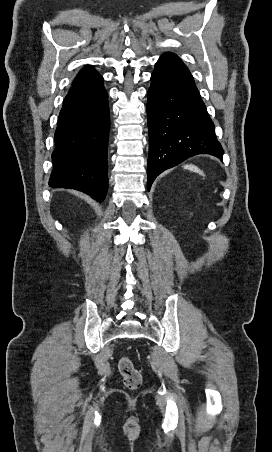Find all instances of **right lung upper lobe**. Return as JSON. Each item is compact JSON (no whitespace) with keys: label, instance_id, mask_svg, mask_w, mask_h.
<instances>
[{"label":"right lung upper lobe","instance_id":"right-lung-upper-lobe-1","mask_svg":"<svg viewBox=\"0 0 272 452\" xmlns=\"http://www.w3.org/2000/svg\"><path fill=\"white\" fill-rule=\"evenodd\" d=\"M100 74L91 66L83 67L75 77L72 85L84 84L95 80Z\"/></svg>","mask_w":272,"mask_h":452}]
</instances>
